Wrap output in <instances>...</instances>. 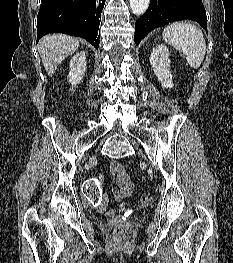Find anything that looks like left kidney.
Masks as SVG:
<instances>
[{"mask_svg": "<svg viewBox=\"0 0 233 263\" xmlns=\"http://www.w3.org/2000/svg\"><path fill=\"white\" fill-rule=\"evenodd\" d=\"M150 64L158 81L165 88H172V74L170 72V60L168 48L161 44L153 48L150 55Z\"/></svg>", "mask_w": 233, "mask_h": 263, "instance_id": "obj_1", "label": "left kidney"}]
</instances>
